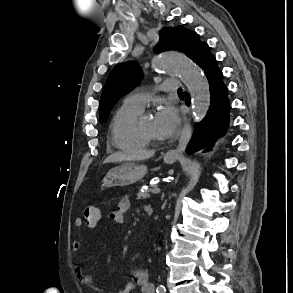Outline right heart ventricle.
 Instances as JSON below:
<instances>
[{
  "instance_id": "1",
  "label": "right heart ventricle",
  "mask_w": 293,
  "mask_h": 293,
  "mask_svg": "<svg viewBox=\"0 0 293 293\" xmlns=\"http://www.w3.org/2000/svg\"><path fill=\"white\" fill-rule=\"evenodd\" d=\"M143 110L125 105L116 111L110 125L111 144L122 151L135 152L147 148L148 144L137 132V120Z\"/></svg>"
}]
</instances>
